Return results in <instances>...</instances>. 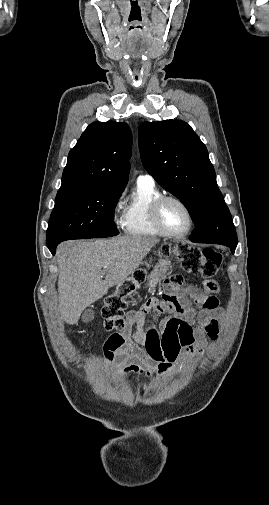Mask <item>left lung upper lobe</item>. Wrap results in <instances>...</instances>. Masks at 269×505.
<instances>
[{
    "label": "left lung upper lobe",
    "instance_id": "obj_1",
    "mask_svg": "<svg viewBox=\"0 0 269 505\" xmlns=\"http://www.w3.org/2000/svg\"><path fill=\"white\" fill-rule=\"evenodd\" d=\"M138 141L144 168L188 208L196 229L191 240L237 246L206 146L181 120L143 122Z\"/></svg>",
    "mask_w": 269,
    "mask_h": 505
}]
</instances>
